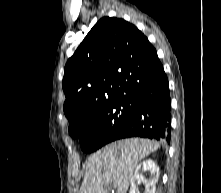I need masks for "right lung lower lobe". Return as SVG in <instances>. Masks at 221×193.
<instances>
[{
	"label": "right lung lower lobe",
	"instance_id": "1",
	"mask_svg": "<svg viewBox=\"0 0 221 193\" xmlns=\"http://www.w3.org/2000/svg\"><path fill=\"white\" fill-rule=\"evenodd\" d=\"M134 104L135 109L129 122L111 141L127 137H145L170 142L171 100L162 64L141 86L134 97Z\"/></svg>",
	"mask_w": 221,
	"mask_h": 193
}]
</instances>
